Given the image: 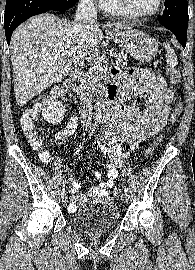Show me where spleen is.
<instances>
[{
    "label": "spleen",
    "instance_id": "obj_1",
    "mask_svg": "<svg viewBox=\"0 0 195 270\" xmlns=\"http://www.w3.org/2000/svg\"><path fill=\"white\" fill-rule=\"evenodd\" d=\"M164 48L166 49V62L167 65L171 68H175L178 64L177 56L174 53L173 49L170 47L169 44L164 43Z\"/></svg>",
    "mask_w": 195,
    "mask_h": 270
}]
</instances>
